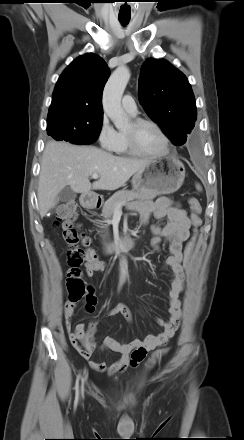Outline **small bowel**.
<instances>
[{
    "label": "small bowel",
    "mask_w": 244,
    "mask_h": 440,
    "mask_svg": "<svg viewBox=\"0 0 244 440\" xmlns=\"http://www.w3.org/2000/svg\"><path fill=\"white\" fill-rule=\"evenodd\" d=\"M130 209L137 211L141 215V224L147 225L151 218L162 219L167 217L168 222L160 227L156 224L150 226L153 233L151 244L155 250L160 249L162 242L168 243L169 256L165 265L171 271L170 288L168 291L169 317L166 320L158 319V323L163 327V331L158 335H148L144 340L133 339L130 342L116 340L106 337L101 345L94 341L96 321L89 324L88 332H85L84 324H77L72 330V317L75 312V304L65 309V327L68 331L69 339L79 354L88 361L89 366L98 372L107 375L123 373L127 367H137L149 350L165 345L175 334L181 318L180 295L183 291L184 272L181 264L183 260L182 246L189 237L191 220L178 204L166 197H161L156 201L135 202L130 205ZM103 262H87L85 264L86 273L92 277L95 273L103 271ZM95 302L87 307V311H93ZM122 314L128 322H132L131 313L122 305H117L108 312V316ZM100 349L111 351L120 355L119 359L107 366L105 363L91 360L92 353Z\"/></svg>",
    "instance_id": "small-bowel-1"
}]
</instances>
